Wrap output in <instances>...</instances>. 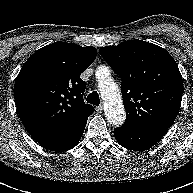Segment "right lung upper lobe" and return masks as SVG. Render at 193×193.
Instances as JSON below:
<instances>
[{"label":"right lung upper lobe","instance_id":"1","mask_svg":"<svg viewBox=\"0 0 193 193\" xmlns=\"http://www.w3.org/2000/svg\"><path fill=\"white\" fill-rule=\"evenodd\" d=\"M95 47L58 41L22 66L14 85L20 119L37 141L64 134L87 122L94 107L85 104L80 74L95 60Z\"/></svg>","mask_w":193,"mask_h":193}]
</instances>
